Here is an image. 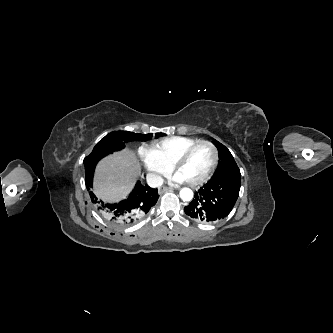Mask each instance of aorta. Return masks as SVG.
I'll return each mask as SVG.
<instances>
[{
	"instance_id": "762f6f07",
	"label": "aorta",
	"mask_w": 333,
	"mask_h": 333,
	"mask_svg": "<svg viewBox=\"0 0 333 333\" xmlns=\"http://www.w3.org/2000/svg\"><path fill=\"white\" fill-rule=\"evenodd\" d=\"M180 198L183 201H190L193 198V192L189 188H183L180 191Z\"/></svg>"
}]
</instances>
